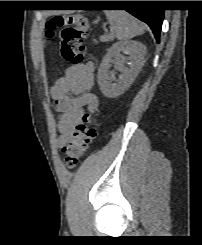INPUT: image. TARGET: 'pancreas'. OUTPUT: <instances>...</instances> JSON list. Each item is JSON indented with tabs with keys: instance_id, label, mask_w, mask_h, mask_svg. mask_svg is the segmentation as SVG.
Returning <instances> with one entry per match:
<instances>
[{
	"instance_id": "pancreas-1",
	"label": "pancreas",
	"mask_w": 202,
	"mask_h": 245,
	"mask_svg": "<svg viewBox=\"0 0 202 245\" xmlns=\"http://www.w3.org/2000/svg\"><path fill=\"white\" fill-rule=\"evenodd\" d=\"M102 37H103V36H102ZM102 37H101V39H100L102 42H105V41H108V40H111V39H112L111 36H107L106 38H102ZM94 41H95V40H94ZM95 42H96V41H95Z\"/></svg>"
}]
</instances>
